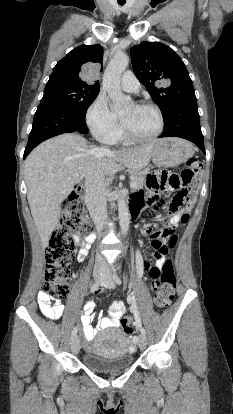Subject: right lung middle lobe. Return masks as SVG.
Here are the masks:
<instances>
[{
  "label": "right lung middle lobe",
  "mask_w": 233,
  "mask_h": 414,
  "mask_svg": "<svg viewBox=\"0 0 233 414\" xmlns=\"http://www.w3.org/2000/svg\"><path fill=\"white\" fill-rule=\"evenodd\" d=\"M99 93V86L78 83L62 78H50L41 103H51L72 112L86 115Z\"/></svg>",
  "instance_id": "dd1d6c3e"
}]
</instances>
